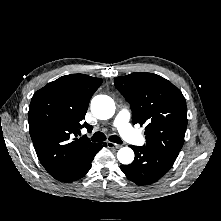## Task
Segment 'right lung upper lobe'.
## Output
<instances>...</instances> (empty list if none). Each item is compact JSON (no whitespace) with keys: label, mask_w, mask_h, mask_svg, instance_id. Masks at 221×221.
I'll return each mask as SVG.
<instances>
[{"label":"right lung upper lobe","mask_w":221,"mask_h":221,"mask_svg":"<svg viewBox=\"0 0 221 221\" xmlns=\"http://www.w3.org/2000/svg\"><path fill=\"white\" fill-rule=\"evenodd\" d=\"M101 83L100 78L71 74L33 95L28 114L30 136L38 159L50 175L77 162L97 144L74 137L81 128H91L82 120Z\"/></svg>","instance_id":"obj_1"}]
</instances>
